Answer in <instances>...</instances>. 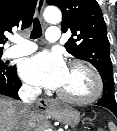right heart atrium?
Segmentation results:
<instances>
[{"label":"right heart atrium","mask_w":117,"mask_h":131,"mask_svg":"<svg viewBox=\"0 0 117 131\" xmlns=\"http://www.w3.org/2000/svg\"><path fill=\"white\" fill-rule=\"evenodd\" d=\"M28 91H35V88L34 87H31V86H26L25 87Z\"/></svg>","instance_id":"obj_1"}]
</instances>
